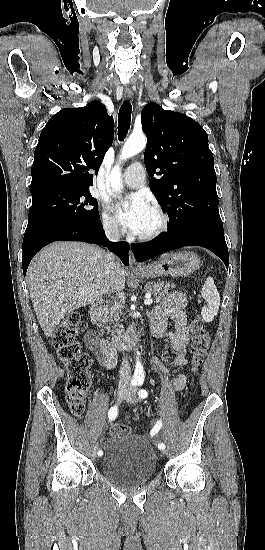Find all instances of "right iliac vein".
<instances>
[{"mask_svg": "<svg viewBox=\"0 0 265 550\" xmlns=\"http://www.w3.org/2000/svg\"><path fill=\"white\" fill-rule=\"evenodd\" d=\"M126 394H127L126 388L124 386H120L118 388L117 395H116L117 402L120 403L123 400V398L126 396ZM92 456L93 458L97 456V447L94 449Z\"/></svg>", "mask_w": 265, "mask_h": 550, "instance_id": "63e3f726", "label": "right iliac vein"}]
</instances>
